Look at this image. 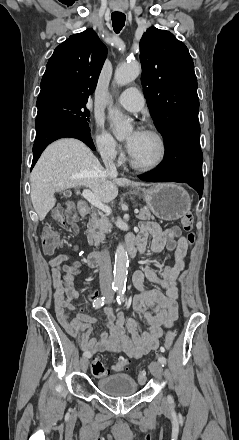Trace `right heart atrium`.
<instances>
[{
    "label": "right heart atrium",
    "instance_id": "right-heart-atrium-1",
    "mask_svg": "<svg viewBox=\"0 0 239 440\" xmlns=\"http://www.w3.org/2000/svg\"><path fill=\"white\" fill-rule=\"evenodd\" d=\"M93 141L101 154L108 160L117 159L120 153V147L115 140L99 126L96 127L93 134Z\"/></svg>",
    "mask_w": 239,
    "mask_h": 440
}]
</instances>
